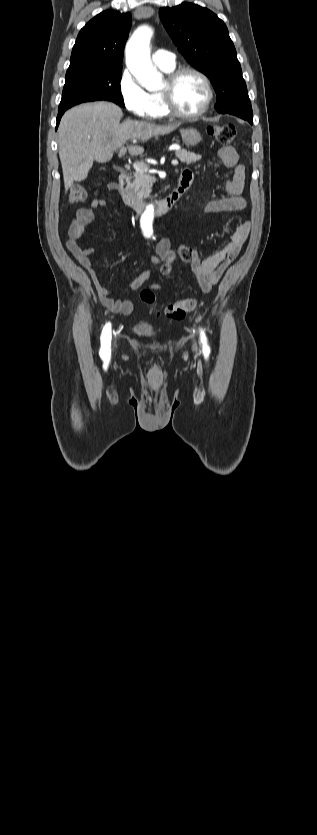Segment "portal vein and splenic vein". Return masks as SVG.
<instances>
[{"label":"portal vein and splenic vein","instance_id":"portal-vein-and-splenic-vein-1","mask_svg":"<svg viewBox=\"0 0 317 835\" xmlns=\"http://www.w3.org/2000/svg\"><path fill=\"white\" fill-rule=\"evenodd\" d=\"M133 142H134V140H133ZM177 148H178L177 146H174V147H171L170 149H177ZM126 151H127V149L125 147H121V149L119 151V157L125 155ZM178 164H179V162L177 160L172 161L173 166H177ZM133 168L137 171H147L148 170V166L146 164L142 163V162L134 163Z\"/></svg>","mask_w":317,"mask_h":835}]
</instances>
